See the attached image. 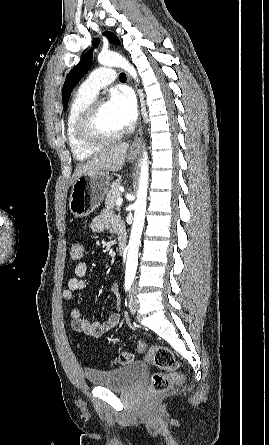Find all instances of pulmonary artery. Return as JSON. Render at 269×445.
<instances>
[{
  "label": "pulmonary artery",
  "mask_w": 269,
  "mask_h": 445,
  "mask_svg": "<svg viewBox=\"0 0 269 445\" xmlns=\"http://www.w3.org/2000/svg\"><path fill=\"white\" fill-rule=\"evenodd\" d=\"M116 79L114 69L99 67L95 69L81 85L80 90L88 95L96 96L100 89L111 84Z\"/></svg>",
  "instance_id": "pulmonary-artery-1"
}]
</instances>
